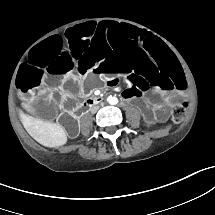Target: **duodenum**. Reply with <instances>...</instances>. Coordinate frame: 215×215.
<instances>
[{
    "mask_svg": "<svg viewBox=\"0 0 215 215\" xmlns=\"http://www.w3.org/2000/svg\"><path fill=\"white\" fill-rule=\"evenodd\" d=\"M103 101V98L100 97V96H93V97H90L88 98L85 103H84V106L86 108L88 107H92V106H97V105H100Z\"/></svg>",
    "mask_w": 215,
    "mask_h": 215,
    "instance_id": "obj_1",
    "label": "duodenum"
}]
</instances>
